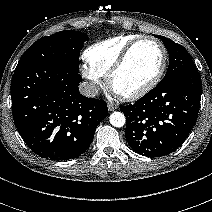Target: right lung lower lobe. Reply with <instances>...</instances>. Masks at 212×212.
<instances>
[{"mask_svg": "<svg viewBox=\"0 0 212 212\" xmlns=\"http://www.w3.org/2000/svg\"><path fill=\"white\" fill-rule=\"evenodd\" d=\"M79 71L41 63L14 72L12 113L29 148L42 158L63 161L82 155L107 116L106 102L79 93Z\"/></svg>", "mask_w": 212, "mask_h": 212, "instance_id": "1", "label": "right lung lower lobe"}]
</instances>
